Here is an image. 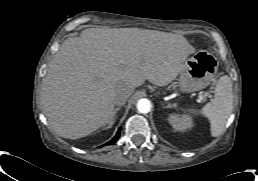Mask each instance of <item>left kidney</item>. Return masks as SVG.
Here are the masks:
<instances>
[{
  "mask_svg": "<svg viewBox=\"0 0 258 181\" xmlns=\"http://www.w3.org/2000/svg\"><path fill=\"white\" fill-rule=\"evenodd\" d=\"M167 121L172 126L174 131L183 132L193 127V120L188 115L170 114Z\"/></svg>",
  "mask_w": 258,
  "mask_h": 181,
  "instance_id": "1",
  "label": "left kidney"
}]
</instances>
